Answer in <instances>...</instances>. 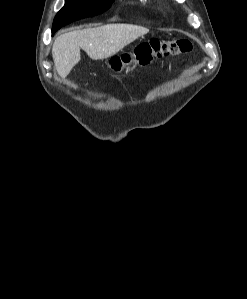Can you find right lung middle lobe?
Masks as SVG:
<instances>
[{"label": "right lung middle lobe", "instance_id": "obj_1", "mask_svg": "<svg viewBox=\"0 0 247 299\" xmlns=\"http://www.w3.org/2000/svg\"><path fill=\"white\" fill-rule=\"evenodd\" d=\"M113 0H66L53 22L52 34L73 21L92 17L107 10Z\"/></svg>", "mask_w": 247, "mask_h": 299}]
</instances>
